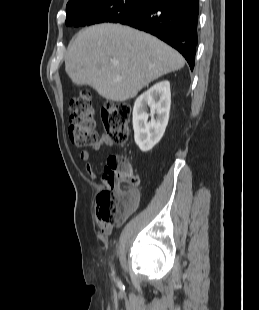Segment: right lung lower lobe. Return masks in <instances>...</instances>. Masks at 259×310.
I'll return each instance as SVG.
<instances>
[{"label": "right lung lower lobe", "mask_w": 259, "mask_h": 310, "mask_svg": "<svg viewBox=\"0 0 259 310\" xmlns=\"http://www.w3.org/2000/svg\"><path fill=\"white\" fill-rule=\"evenodd\" d=\"M199 0H150L121 24L151 33L178 50L194 68Z\"/></svg>", "instance_id": "right-lung-lower-lobe-1"}]
</instances>
